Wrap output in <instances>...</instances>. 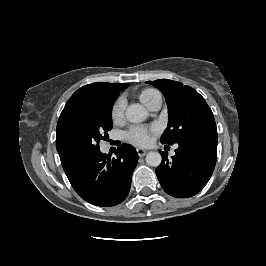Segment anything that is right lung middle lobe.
Listing matches in <instances>:
<instances>
[{
	"mask_svg": "<svg viewBox=\"0 0 266 266\" xmlns=\"http://www.w3.org/2000/svg\"><path fill=\"white\" fill-rule=\"evenodd\" d=\"M117 95L99 97L68 117L56 131L60 156L83 160L97 152L100 140L112 128L111 111Z\"/></svg>",
	"mask_w": 266,
	"mask_h": 266,
	"instance_id": "right-lung-middle-lobe-1",
	"label": "right lung middle lobe"
}]
</instances>
